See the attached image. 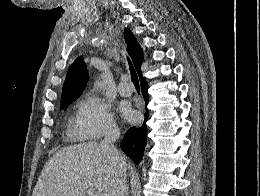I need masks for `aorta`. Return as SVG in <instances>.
<instances>
[{
    "instance_id": "1",
    "label": "aorta",
    "mask_w": 260,
    "mask_h": 196,
    "mask_svg": "<svg viewBox=\"0 0 260 196\" xmlns=\"http://www.w3.org/2000/svg\"><path fill=\"white\" fill-rule=\"evenodd\" d=\"M94 87L97 89V90H100L104 87V83L101 81V80H96L95 83H94Z\"/></svg>"
}]
</instances>
